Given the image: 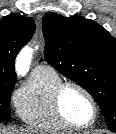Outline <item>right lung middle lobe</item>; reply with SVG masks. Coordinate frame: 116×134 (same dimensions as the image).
<instances>
[{
  "mask_svg": "<svg viewBox=\"0 0 116 134\" xmlns=\"http://www.w3.org/2000/svg\"><path fill=\"white\" fill-rule=\"evenodd\" d=\"M15 82H0V121L9 120L10 114V96L12 94Z\"/></svg>",
  "mask_w": 116,
  "mask_h": 134,
  "instance_id": "dd1d6c3e",
  "label": "right lung middle lobe"
}]
</instances>
